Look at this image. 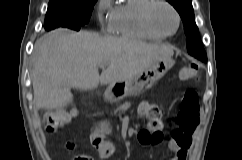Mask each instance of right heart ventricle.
<instances>
[{
  "mask_svg": "<svg viewBox=\"0 0 242 160\" xmlns=\"http://www.w3.org/2000/svg\"><path fill=\"white\" fill-rule=\"evenodd\" d=\"M150 0H126L114 8L111 31L129 39L157 41L162 38L148 32L141 21V11Z\"/></svg>",
  "mask_w": 242,
  "mask_h": 160,
  "instance_id": "1",
  "label": "right heart ventricle"
}]
</instances>
